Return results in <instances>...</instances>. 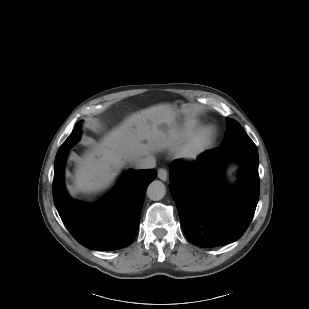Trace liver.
Returning <instances> with one entry per match:
<instances>
[{
  "mask_svg": "<svg viewBox=\"0 0 309 309\" xmlns=\"http://www.w3.org/2000/svg\"><path fill=\"white\" fill-rule=\"evenodd\" d=\"M177 110L170 104L155 105L128 116L120 125L105 135L100 143L84 157H77L74 185L71 195L93 193L106 188L117 176L126 160L147 156L167 144V137L160 126L172 128L176 124ZM147 140V144L142 143Z\"/></svg>",
  "mask_w": 309,
  "mask_h": 309,
  "instance_id": "1",
  "label": "liver"
}]
</instances>
